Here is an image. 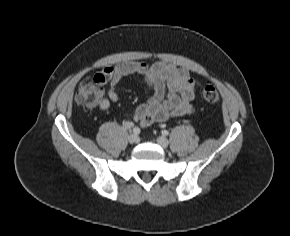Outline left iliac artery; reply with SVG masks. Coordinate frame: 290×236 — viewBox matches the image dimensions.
<instances>
[{
    "label": "left iliac artery",
    "mask_w": 290,
    "mask_h": 236,
    "mask_svg": "<svg viewBox=\"0 0 290 236\" xmlns=\"http://www.w3.org/2000/svg\"><path fill=\"white\" fill-rule=\"evenodd\" d=\"M162 135L167 136L169 134V132L167 130H162Z\"/></svg>",
    "instance_id": "44dca946"
}]
</instances>
